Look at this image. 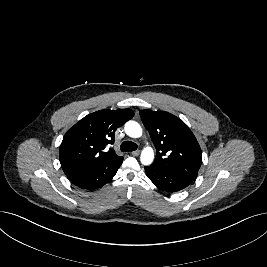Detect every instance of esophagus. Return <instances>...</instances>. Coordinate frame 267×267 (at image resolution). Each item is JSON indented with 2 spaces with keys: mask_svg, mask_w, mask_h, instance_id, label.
<instances>
[{
  "mask_svg": "<svg viewBox=\"0 0 267 267\" xmlns=\"http://www.w3.org/2000/svg\"><path fill=\"white\" fill-rule=\"evenodd\" d=\"M131 154L133 156H138L140 154V150L133 151V152H131Z\"/></svg>",
  "mask_w": 267,
  "mask_h": 267,
  "instance_id": "34e87169",
  "label": "esophagus"
}]
</instances>
